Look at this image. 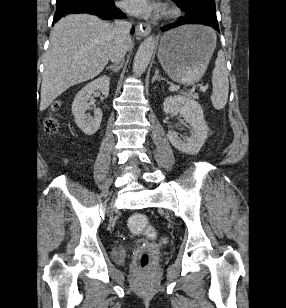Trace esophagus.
<instances>
[{"label":"esophagus","mask_w":286,"mask_h":308,"mask_svg":"<svg viewBox=\"0 0 286 308\" xmlns=\"http://www.w3.org/2000/svg\"><path fill=\"white\" fill-rule=\"evenodd\" d=\"M151 32V26L148 23H142L136 27V35L140 38L147 36Z\"/></svg>","instance_id":"esophagus-1"}]
</instances>
